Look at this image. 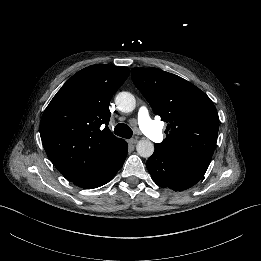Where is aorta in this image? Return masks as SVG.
Instances as JSON below:
<instances>
[{"mask_svg": "<svg viewBox=\"0 0 261 261\" xmlns=\"http://www.w3.org/2000/svg\"><path fill=\"white\" fill-rule=\"evenodd\" d=\"M115 103L118 110L128 113L135 109V97L129 92H120ZM136 150L141 157L149 158L154 153V145L150 140H140L136 146Z\"/></svg>", "mask_w": 261, "mask_h": 261, "instance_id": "762f6f07", "label": "aorta"}]
</instances>
